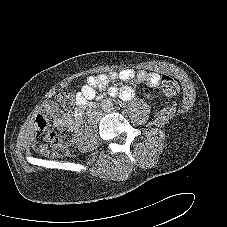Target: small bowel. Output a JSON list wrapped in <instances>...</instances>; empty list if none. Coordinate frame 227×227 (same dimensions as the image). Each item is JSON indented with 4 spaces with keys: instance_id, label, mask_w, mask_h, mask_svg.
<instances>
[{
    "instance_id": "small-bowel-1",
    "label": "small bowel",
    "mask_w": 227,
    "mask_h": 227,
    "mask_svg": "<svg viewBox=\"0 0 227 227\" xmlns=\"http://www.w3.org/2000/svg\"><path fill=\"white\" fill-rule=\"evenodd\" d=\"M160 78L161 76L157 72H147L144 70L135 72L133 69H123L119 72H110L108 74L90 75L75 96L72 115L64 114L54 119L53 123L59 129H69L72 132H77L82 124V118L88 102L96 97L97 88H105L116 80L132 81V86H125L121 89L110 87L108 89V93L112 97L119 95L123 99H131L134 95V86L142 83H146L149 86H157Z\"/></svg>"
}]
</instances>
